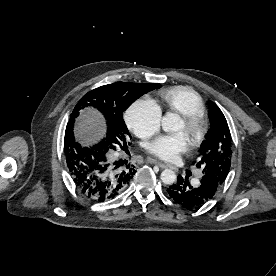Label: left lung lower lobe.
Masks as SVG:
<instances>
[{
    "label": "left lung lower lobe",
    "instance_id": "1",
    "mask_svg": "<svg viewBox=\"0 0 276 276\" xmlns=\"http://www.w3.org/2000/svg\"><path fill=\"white\" fill-rule=\"evenodd\" d=\"M188 174V173H187ZM219 189V183L209 174L203 175L196 185H191L189 175L178 176L175 184L167 192L178 204L186 208H199L209 201Z\"/></svg>",
    "mask_w": 276,
    "mask_h": 276
}]
</instances>
